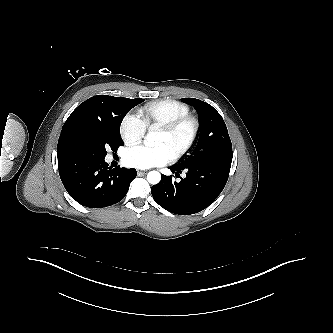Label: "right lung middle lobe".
<instances>
[{
    "label": "right lung middle lobe",
    "mask_w": 333,
    "mask_h": 333,
    "mask_svg": "<svg viewBox=\"0 0 333 333\" xmlns=\"http://www.w3.org/2000/svg\"><path fill=\"white\" fill-rule=\"evenodd\" d=\"M143 101L140 98L112 97L104 117L83 116L65 132L63 140L66 150L103 158L108 149L117 151L119 146L124 145L120 136L123 118Z\"/></svg>",
    "instance_id": "obj_1"
}]
</instances>
